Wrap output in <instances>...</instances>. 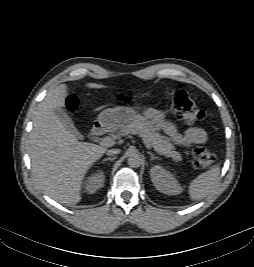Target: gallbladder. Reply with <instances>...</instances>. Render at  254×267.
Instances as JSON below:
<instances>
[{
  "label": "gallbladder",
  "mask_w": 254,
  "mask_h": 267,
  "mask_svg": "<svg viewBox=\"0 0 254 267\" xmlns=\"http://www.w3.org/2000/svg\"><path fill=\"white\" fill-rule=\"evenodd\" d=\"M54 113L57 115V117L59 118V120L62 122V124L64 125V127L69 132H71L77 138H82V135L76 129V127L74 126V123H73L72 119L68 116V114L66 113V111L64 109H62V108H56L54 110Z\"/></svg>",
  "instance_id": "1"
}]
</instances>
